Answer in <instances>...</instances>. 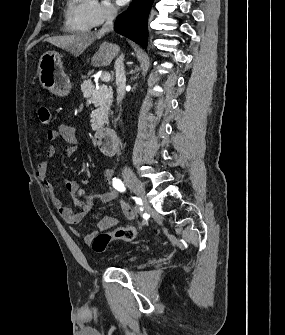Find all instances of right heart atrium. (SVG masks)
I'll return each instance as SVG.
<instances>
[{
    "mask_svg": "<svg viewBox=\"0 0 285 335\" xmlns=\"http://www.w3.org/2000/svg\"><path fill=\"white\" fill-rule=\"evenodd\" d=\"M88 19L92 27H100L101 25L114 21L119 9L112 1H92L88 5Z\"/></svg>",
    "mask_w": 285,
    "mask_h": 335,
    "instance_id": "1",
    "label": "right heart atrium"
}]
</instances>
